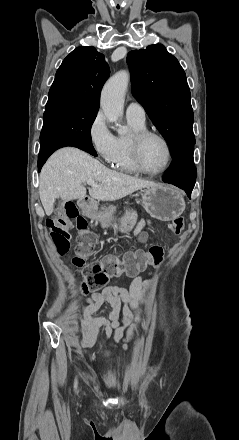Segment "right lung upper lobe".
Wrapping results in <instances>:
<instances>
[{"mask_svg": "<svg viewBox=\"0 0 239 440\" xmlns=\"http://www.w3.org/2000/svg\"><path fill=\"white\" fill-rule=\"evenodd\" d=\"M109 75L103 54L93 46L78 47L57 70L46 105L64 103L98 111L100 92Z\"/></svg>", "mask_w": 239, "mask_h": 440, "instance_id": "right-lung-upper-lobe-1", "label": "right lung upper lobe"}]
</instances>
